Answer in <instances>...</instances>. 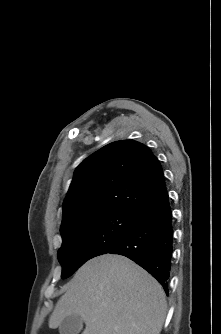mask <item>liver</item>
<instances>
[{
	"instance_id": "obj_1",
	"label": "liver",
	"mask_w": 221,
	"mask_h": 334,
	"mask_svg": "<svg viewBox=\"0 0 221 334\" xmlns=\"http://www.w3.org/2000/svg\"><path fill=\"white\" fill-rule=\"evenodd\" d=\"M166 311L165 292L149 273L125 256L104 254L67 283L49 327L78 315L86 325L82 334H160Z\"/></svg>"
}]
</instances>
